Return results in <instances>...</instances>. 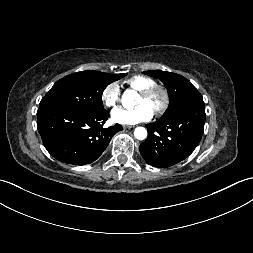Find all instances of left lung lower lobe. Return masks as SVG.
Here are the masks:
<instances>
[{
    "label": "left lung lower lobe",
    "instance_id": "obj_1",
    "mask_svg": "<svg viewBox=\"0 0 253 253\" xmlns=\"http://www.w3.org/2000/svg\"><path fill=\"white\" fill-rule=\"evenodd\" d=\"M205 116L199 95L168 118L147 124L148 137L140 145L144 160L153 167L165 168L187 158L201 140Z\"/></svg>",
    "mask_w": 253,
    "mask_h": 253
}]
</instances>
